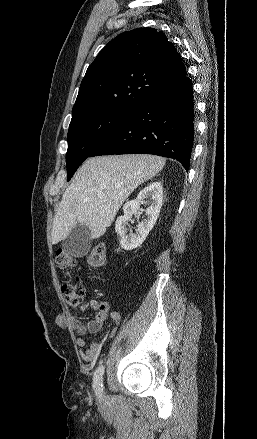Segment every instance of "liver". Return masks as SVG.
Instances as JSON below:
<instances>
[{
  "instance_id": "liver-1",
  "label": "liver",
  "mask_w": 257,
  "mask_h": 439,
  "mask_svg": "<svg viewBox=\"0 0 257 439\" xmlns=\"http://www.w3.org/2000/svg\"><path fill=\"white\" fill-rule=\"evenodd\" d=\"M164 165V158L148 154L87 159L62 195L53 219L52 243L64 240L77 225L87 226L92 239L104 235L128 196Z\"/></svg>"
}]
</instances>
